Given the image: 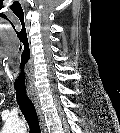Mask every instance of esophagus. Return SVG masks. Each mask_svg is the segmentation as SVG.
Listing matches in <instances>:
<instances>
[{"label":"esophagus","instance_id":"34e87169","mask_svg":"<svg viewBox=\"0 0 120 133\" xmlns=\"http://www.w3.org/2000/svg\"><path fill=\"white\" fill-rule=\"evenodd\" d=\"M28 95L31 98L32 102L34 103L38 116H39V120H40V125H41V129L43 133H46V129H45V125H44V119H43V115H42V111L40 108V104H39V100L37 97V93L34 89H31L28 91Z\"/></svg>","mask_w":120,"mask_h":133}]
</instances>
